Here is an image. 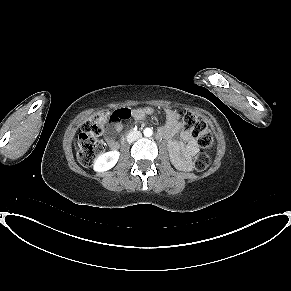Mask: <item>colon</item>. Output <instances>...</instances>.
<instances>
[{
    "label": "colon",
    "instance_id": "5ec220e1",
    "mask_svg": "<svg viewBox=\"0 0 291 291\" xmlns=\"http://www.w3.org/2000/svg\"><path fill=\"white\" fill-rule=\"evenodd\" d=\"M178 117L184 128L194 135L198 144L203 149L212 147L214 140L206 123L190 111H177ZM131 116L128 108L118 109L112 113L100 112L87 121L78 137V160L83 166H91L95 159L105 150L104 144L98 140V136L104 133L109 121L126 120ZM210 163L209 155L200 151L193 160V167L202 171Z\"/></svg>",
    "mask_w": 291,
    "mask_h": 291
}]
</instances>
